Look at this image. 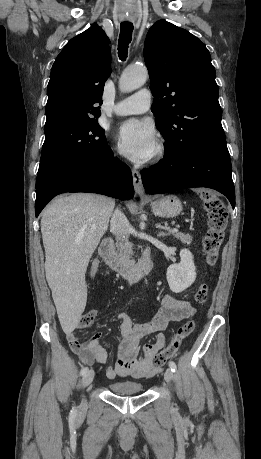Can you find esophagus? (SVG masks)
I'll return each mask as SVG.
<instances>
[{"mask_svg": "<svg viewBox=\"0 0 261 459\" xmlns=\"http://www.w3.org/2000/svg\"><path fill=\"white\" fill-rule=\"evenodd\" d=\"M132 177H133V186L135 193L140 197H144V187L141 179V175L138 170L132 169Z\"/></svg>", "mask_w": 261, "mask_h": 459, "instance_id": "esophagus-1", "label": "esophagus"}]
</instances>
